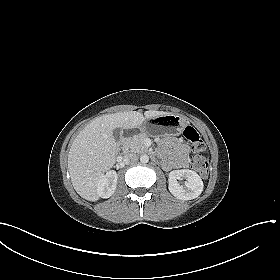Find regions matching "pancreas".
I'll list each match as a JSON object with an SVG mask.
<instances>
[{
	"mask_svg": "<svg viewBox=\"0 0 280 280\" xmlns=\"http://www.w3.org/2000/svg\"><path fill=\"white\" fill-rule=\"evenodd\" d=\"M147 136L145 134H139L126 141L125 147L131 152L143 153L147 151V147L144 146V140Z\"/></svg>",
	"mask_w": 280,
	"mask_h": 280,
	"instance_id": "1",
	"label": "pancreas"
}]
</instances>
